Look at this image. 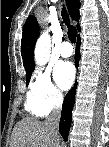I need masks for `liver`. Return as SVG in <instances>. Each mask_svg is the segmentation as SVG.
<instances>
[{
	"label": "liver",
	"mask_w": 109,
	"mask_h": 147,
	"mask_svg": "<svg viewBox=\"0 0 109 147\" xmlns=\"http://www.w3.org/2000/svg\"><path fill=\"white\" fill-rule=\"evenodd\" d=\"M10 147H54V143L45 122L26 117L13 128Z\"/></svg>",
	"instance_id": "liver-1"
}]
</instances>
